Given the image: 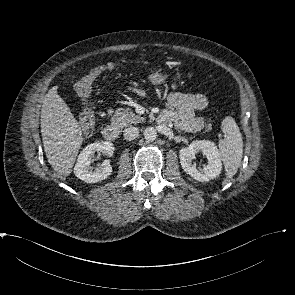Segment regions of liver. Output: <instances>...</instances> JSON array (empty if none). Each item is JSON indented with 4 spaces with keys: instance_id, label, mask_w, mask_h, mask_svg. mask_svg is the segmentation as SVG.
Here are the masks:
<instances>
[{
    "instance_id": "obj_1",
    "label": "liver",
    "mask_w": 295,
    "mask_h": 295,
    "mask_svg": "<svg viewBox=\"0 0 295 295\" xmlns=\"http://www.w3.org/2000/svg\"><path fill=\"white\" fill-rule=\"evenodd\" d=\"M53 86L45 95L41 108L43 146L52 168L68 176L83 141L81 127L66 102Z\"/></svg>"
}]
</instances>
